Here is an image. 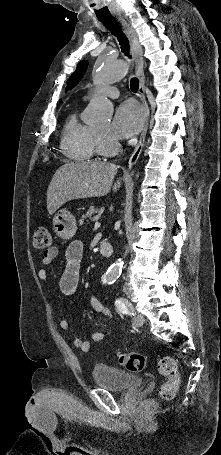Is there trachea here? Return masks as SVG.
Listing matches in <instances>:
<instances>
[{
    "instance_id": "trachea-1",
    "label": "trachea",
    "mask_w": 221,
    "mask_h": 455,
    "mask_svg": "<svg viewBox=\"0 0 221 455\" xmlns=\"http://www.w3.org/2000/svg\"><path fill=\"white\" fill-rule=\"evenodd\" d=\"M102 23L109 29V31L117 37L119 44L121 46L122 52L130 57L129 54V42L125 34L122 32L121 28L117 24L116 20L114 18H106V19H100ZM139 88V81L137 78H132L130 81V89L132 92L136 93Z\"/></svg>"
}]
</instances>
